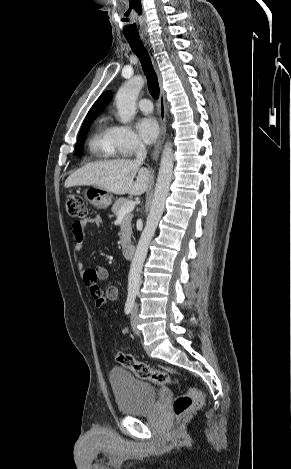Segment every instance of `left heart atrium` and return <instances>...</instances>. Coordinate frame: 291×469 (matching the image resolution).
I'll use <instances>...</instances> for the list:
<instances>
[{
    "label": "left heart atrium",
    "mask_w": 291,
    "mask_h": 469,
    "mask_svg": "<svg viewBox=\"0 0 291 469\" xmlns=\"http://www.w3.org/2000/svg\"><path fill=\"white\" fill-rule=\"evenodd\" d=\"M137 129L146 143H152L159 134V126L155 118L143 117L137 123Z\"/></svg>",
    "instance_id": "obj_1"
}]
</instances>
